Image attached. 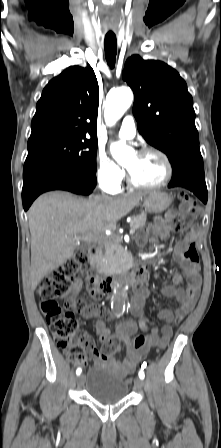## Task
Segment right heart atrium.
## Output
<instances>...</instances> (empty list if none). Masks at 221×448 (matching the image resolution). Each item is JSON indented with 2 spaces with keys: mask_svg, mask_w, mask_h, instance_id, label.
<instances>
[{
  "mask_svg": "<svg viewBox=\"0 0 221 448\" xmlns=\"http://www.w3.org/2000/svg\"><path fill=\"white\" fill-rule=\"evenodd\" d=\"M96 177L99 185L104 190L114 192L120 188L125 172L104 153H98Z\"/></svg>",
  "mask_w": 221,
  "mask_h": 448,
  "instance_id": "1",
  "label": "right heart atrium"
}]
</instances>
